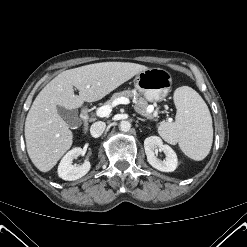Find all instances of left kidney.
Wrapping results in <instances>:
<instances>
[{"label": "left kidney", "mask_w": 247, "mask_h": 247, "mask_svg": "<svg viewBox=\"0 0 247 247\" xmlns=\"http://www.w3.org/2000/svg\"><path fill=\"white\" fill-rule=\"evenodd\" d=\"M159 148L166 156L165 160H160L155 155V150ZM144 149L149 164L162 172H173L177 168L178 159L174 150L162 142L158 136H150L144 140Z\"/></svg>", "instance_id": "obj_1"}]
</instances>
